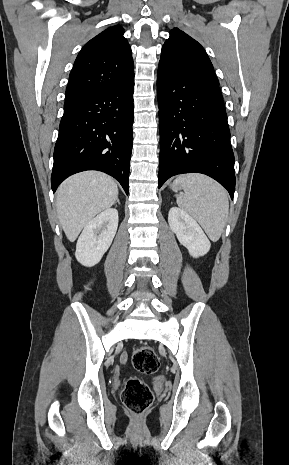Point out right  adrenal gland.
Returning <instances> with one entry per match:
<instances>
[{"label":"right adrenal gland","mask_w":289,"mask_h":465,"mask_svg":"<svg viewBox=\"0 0 289 465\" xmlns=\"http://www.w3.org/2000/svg\"><path fill=\"white\" fill-rule=\"evenodd\" d=\"M116 202H117V203L120 205V201H119V199H118V198H117Z\"/></svg>","instance_id":"1"}]
</instances>
